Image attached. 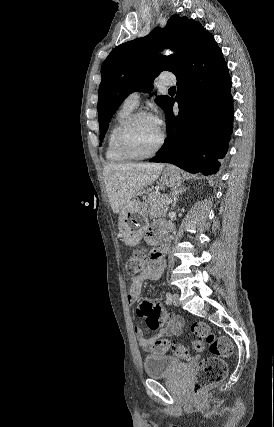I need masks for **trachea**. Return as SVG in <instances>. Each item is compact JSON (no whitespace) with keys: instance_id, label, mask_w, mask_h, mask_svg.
<instances>
[{"instance_id":"trachea-1","label":"trachea","mask_w":274,"mask_h":427,"mask_svg":"<svg viewBox=\"0 0 274 427\" xmlns=\"http://www.w3.org/2000/svg\"><path fill=\"white\" fill-rule=\"evenodd\" d=\"M169 90H176V87H171Z\"/></svg>"}]
</instances>
